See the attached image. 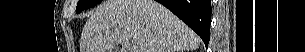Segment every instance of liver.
<instances>
[{"instance_id":"liver-1","label":"liver","mask_w":305,"mask_h":52,"mask_svg":"<svg viewBox=\"0 0 305 52\" xmlns=\"http://www.w3.org/2000/svg\"><path fill=\"white\" fill-rule=\"evenodd\" d=\"M199 45L185 23L153 0H105L90 13L80 39L81 52H186Z\"/></svg>"}]
</instances>
